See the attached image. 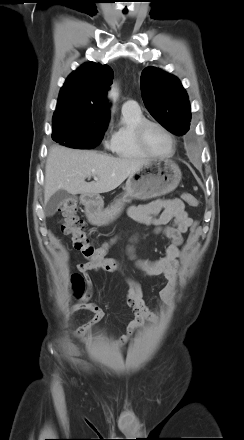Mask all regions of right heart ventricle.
Masks as SVG:
<instances>
[{"mask_svg": "<svg viewBox=\"0 0 244 440\" xmlns=\"http://www.w3.org/2000/svg\"><path fill=\"white\" fill-rule=\"evenodd\" d=\"M140 109L136 111L122 110L121 123L114 129L109 144L110 150L123 158H144L145 154L135 143L133 130L137 123L144 120Z\"/></svg>", "mask_w": 244, "mask_h": 440, "instance_id": "e07e8e85", "label": "right heart ventricle"}]
</instances>
